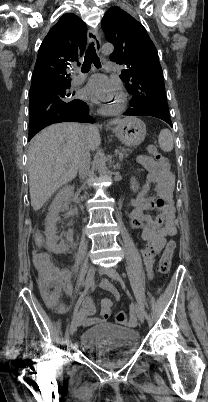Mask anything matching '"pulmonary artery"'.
<instances>
[{
    "label": "pulmonary artery",
    "mask_w": 208,
    "mask_h": 402,
    "mask_svg": "<svg viewBox=\"0 0 208 402\" xmlns=\"http://www.w3.org/2000/svg\"><path fill=\"white\" fill-rule=\"evenodd\" d=\"M104 65H105V69L107 70V71H109V72H111V71H113L114 69H115V65H116V62L115 61H112V60H110V59H108V60H106L105 62H104ZM89 73V70L87 69V68H82V67H77L76 69H75V74L77 75V76H82L83 74L84 75H87Z\"/></svg>",
    "instance_id": "e3ab8cb5"
}]
</instances>
